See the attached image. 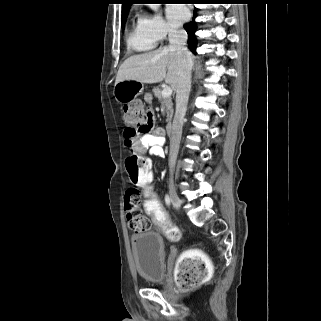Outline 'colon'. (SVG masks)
<instances>
[{"instance_id":"1","label":"colon","mask_w":321,"mask_h":321,"mask_svg":"<svg viewBox=\"0 0 321 321\" xmlns=\"http://www.w3.org/2000/svg\"><path fill=\"white\" fill-rule=\"evenodd\" d=\"M123 121L128 134L139 136L152 130L154 117L152 112L146 109L141 102L131 101L124 104ZM125 165L131 182L143 187L144 201L142 206L146 216H151V222H156L170 240H179L180 230L170 221L163 210L161 196H157V192L152 191V187L156 183L154 177L151 176V162L139 154L130 152L126 157ZM140 203L141 192L137 188L127 189L125 192L127 222L129 228L136 232L145 231L150 227V220L141 214ZM209 276L208 262L197 253L183 256L176 266V281L183 290H189L202 284Z\"/></svg>"}]
</instances>
